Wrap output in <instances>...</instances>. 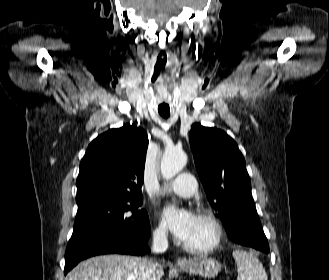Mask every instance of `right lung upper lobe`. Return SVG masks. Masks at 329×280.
<instances>
[{
  "instance_id": "1",
  "label": "right lung upper lobe",
  "mask_w": 329,
  "mask_h": 280,
  "mask_svg": "<svg viewBox=\"0 0 329 280\" xmlns=\"http://www.w3.org/2000/svg\"><path fill=\"white\" fill-rule=\"evenodd\" d=\"M147 147V134L134 124L98 136L81 160L77 198L141 197Z\"/></svg>"
}]
</instances>
